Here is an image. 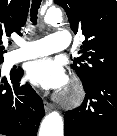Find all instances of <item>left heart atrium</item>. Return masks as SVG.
<instances>
[{"mask_svg":"<svg viewBox=\"0 0 117 136\" xmlns=\"http://www.w3.org/2000/svg\"><path fill=\"white\" fill-rule=\"evenodd\" d=\"M28 79L47 90H62L68 83L63 64L53 58H42L32 62L27 69Z\"/></svg>","mask_w":117,"mask_h":136,"instance_id":"obj_1","label":"left heart atrium"}]
</instances>
